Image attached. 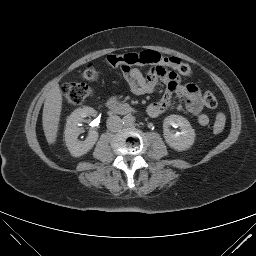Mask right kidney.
<instances>
[{
    "label": "right kidney",
    "mask_w": 256,
    "mask_h": 256,
    "mask_svg": "<svg viewBox=\"0 0 256 256\" xmlns=\"http://www.w3.org/2000/svg\"><path fill=\"white\" fill-rule=\"evenodd\" d=\"M95 110L91 107H83L74 110L67 118L66 128L64 132L66 146L74 157H80L90 151L98 140V133L94 130L90 131L88 137L84 141L78 140L79 135L84 131L79 127L84 118L93 116Z\"/></svg>",
    "instance_id": "ca27d5eb"
}]
</instances>
